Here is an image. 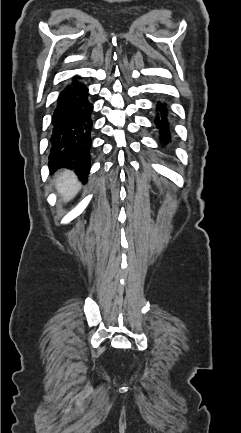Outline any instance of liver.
<instances>
[{
    "label": "liver",
    "mask_w": 241,
    "mask_h": 433,
    "mask_svg": "<svg viewBox=\"0 0 241 433\" xmlns=\"http://www.w3.org/2000/svg\"><path fill=\"white\" fill-rule=\"evenodd\" d=\"M56 190L65 202L73 199L79 192L81 184L77 176L69 170L58 173L55 177Z\"/></svg>",
    "instance_id": "obj_1"
}]
</instances>
